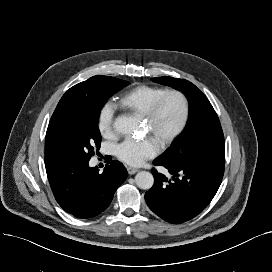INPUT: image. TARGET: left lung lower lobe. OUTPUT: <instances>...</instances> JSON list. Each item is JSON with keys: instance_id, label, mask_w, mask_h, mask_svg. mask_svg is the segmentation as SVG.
<instances>
[{"instance_id": "left-lung-lower-lobe-1", "label": "left lung lower lobe", "mask_w": 272, "mask_h": 272, "mask_svg": "<svg viewBox=\"0 0 272 272\" xmlns=\"http://www.w3.org/2000/svg\"><path fill=\"white\" fill-rule=\"evenodd\" d=\"M172 178L152 170L154 185L145 193L150 209L163 220L180 224L200 214L215 196L224 174L225 159L169 162L156 159Z\"/></svg>"}]
</instances>
